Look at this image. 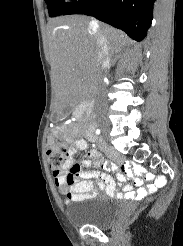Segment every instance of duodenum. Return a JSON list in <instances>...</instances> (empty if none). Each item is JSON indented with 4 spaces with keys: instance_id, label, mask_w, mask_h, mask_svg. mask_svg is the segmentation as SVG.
I'll return each mask as SVG.
<instances>
[{
    "instance_id": "1",
    "label": "duodenum",
    "mask_w": 183,
    "mask_h": 246,
    "mask_svg": "<svg viewBox=\"0 0 183 246\" xmlns=\"http://www.w3.org/2000/svg\"><path fill=\"white\" fill-rule=\"evenodd\" d=\"M88 108H89L88 104H76V108H74V111L70 112V115L79 117L81 113H85V109H88ZM92 132H93L92 129H89L86 135L87 138H89V141H97L98 144H101L102 140L99 139L96 133H92Z\"/></svg>"
}]
</instances>
